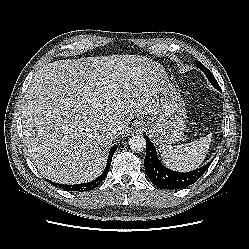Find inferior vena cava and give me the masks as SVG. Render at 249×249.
Listing matches in <instances>:
<instances>
[{
  "mask_svg": "<svg viewBox=\"0 0 249 249\" xmlns=\"http://www.w3.org/2000/svg\"><path fill=\"white\" fill-rule=\"evenodd\" d=\"M118 130L119 129H113L111 132H109V136H111L112 138H116Z\"/></svg>",
  "mask_w": 249,
  "mask_h": 249,
  "instance_id": "obj_1",
  "label": "inferior vena cava"
}]
</instances>
